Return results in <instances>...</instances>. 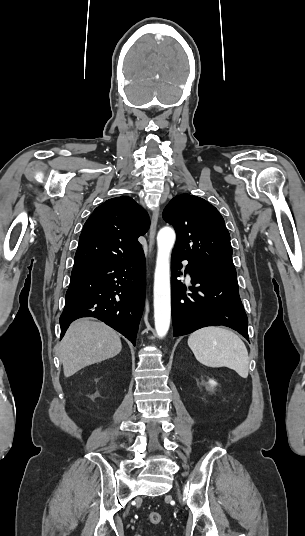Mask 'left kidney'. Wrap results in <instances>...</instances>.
<instances>
[{"instance_id": "5707ae66", "label": "left kidney", "mask_w": 305, "mask_h": 536, "mask_svg": "<svg viewBox=\"0 0 305 536\" xmlns=\"http://www.w3.org/2000/svg\"><path fill=\"white\" fill-rule=\"evenodd\" d=\"M208 384H210V386H217V382H214V380H209Z\"/></svg>"}]
</instances>
